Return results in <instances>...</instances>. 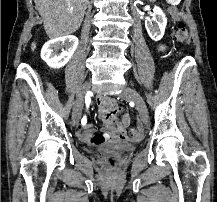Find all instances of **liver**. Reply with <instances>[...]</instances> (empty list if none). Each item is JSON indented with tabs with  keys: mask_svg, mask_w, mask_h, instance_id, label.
Returning <instances> with one entry per match:
<instances>
[{
	"mask_svg": "<svg viewBox=\"0 0 217 202\" xmlns=\"http://www.w3.org/2000/svg\"><path fill=\"white\" fill-rule=\"evenodd\" d=\"M88 0H34L50 38H62L79 30Z\"/></svg>",
	"mask_w": 217,
	"mask_h": 202,
	"instance_id": "6515ba94",
	"label": "liver"
}]
</instances>
